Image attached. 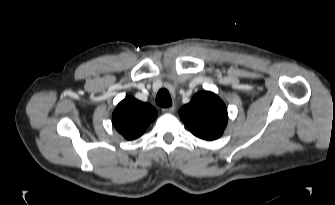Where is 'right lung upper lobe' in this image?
<instances>
[{"label":"right lung upper lobe","mask_w":335,"mask_h":205,"mask_svg":"<svg viewBox=\"0 0 335 205\" xmlns=\"http://www.w3.org/2000/svg\"><path fill=\"white\" fill-rule=\"evenodd\" d=\"M156 117L157 111L151 105L127 97L117 105L112 121L125 139L133 140L141 136Z\"/></svg>","instance_id":"right-lung-upper-lobe-1"}]
</instances>
